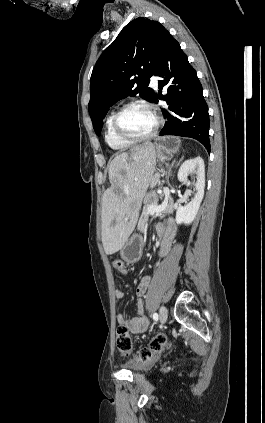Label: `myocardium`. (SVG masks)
Listing matches in <instances>:
<instances>
[{"mask_svg":"<svg viewBox=\"0 0 265 423\" xmlns=\"http://www.w3.org/2000/svg\"><path fill=\"white\" fill-rule=\"evenodd\" d=\"M134 107L144 108L147 111H149L152 114V116L154 117V120H155L154 127L146 135L138 136V137L131 136V135L127 134L126 132H124L122 127H121L122 116L124 115V113L126 111H128L129 109L134 108ZM161 123H162L161 118H160L159 114L157 113V111L155 110V108L147 102L138 100V101H132V102L125 104L124 106H122L116 112V114L113 118V131H114L115 135L119 139H121L122 141L135 144V143H140V142H144V141L152 139L158 133L159 128L161 126Z\"/></svg>","mask_w":265,"mask_h":423,"instance_id":"myocardium-1","label":"myocardium"}]
</instances>
